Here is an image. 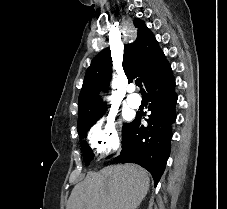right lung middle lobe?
Listing matches in <instances>:
<instances>
[{
  "label": "right lung middle lobe",
  "mask_w": 227,
  "mask_h": 209,
  "mask_svg": "<svg viewBox=\"0 0 227 209\" xmlns=\"http://www.w3.org/2000/svg\"><path fill=\"white\" fill-rule=\"evenodd\" d=\"M104 112L105 110L98 115L83 116L78 118L77 130L80 138H86L87 131L90 129L91 126H93L96 123V121L104 114ZM127 125L128 124H124L123 131ZM82 150L85 158V163L86 165H88L89 162L93 159L94 154L91 148L88 146V144L85 141L82 144Z\"/></svg>",
  "instance_id": "right-lung-middle-lobe-1"
}]
</instances>
